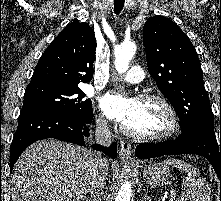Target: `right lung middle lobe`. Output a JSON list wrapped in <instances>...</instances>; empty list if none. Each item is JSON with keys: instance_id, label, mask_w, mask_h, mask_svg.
Wrapping results in <instances>:
<instances>
[{"instance_id": "right-lung-middle-lobe-1", "label": "right lung middle lobe", "mask_w": 221, "mask_h": 201, "mask_svg": "<svg viewBox=\"0 0 221 201\" xmlns=\"http://www.w3.org/2000/svg\"><path fill=\"white\" fill-rule=\"evenodd\" d=\"M85 96L80 88L29 87L25 90L22 111L43 109L90 120L93 115L92 102Z\"/></svg>"}]
</instances>
